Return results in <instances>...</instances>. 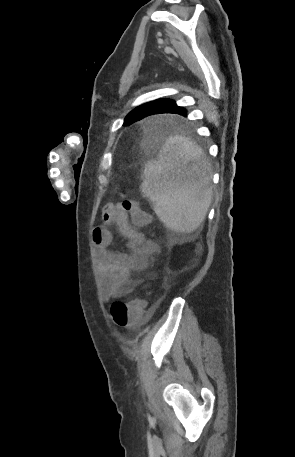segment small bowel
Masks as SVG:
<instances>
[{"label":"small bowel","instance_id":"1","mask_svg":"<svg viewBox=\"0 0 295 457\" xmlns=\"http://www.w3.org/2000/svg\"><path fill=\"white\" fill-rule=\"evenodd\" d=\"M102 217L104 225L93 230L92 239L104 298L111 300L132 291L136 283L133 273L148 268L151 258L158 253L159 246L129 223L128 215L121 205L107 203L103 208ZM108 225L116 226L119 233L127 239L128 253L110 249L113 235Z\"/></svg>","mask_w":295,"mask_h":457}]
</instances>
